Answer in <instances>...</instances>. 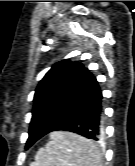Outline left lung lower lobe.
<instances>
[{
    "mask_svg": "<svg viewBox=\"0 0 135 166\" xmlns=\"http://www.w3.org/2000/svg\"><path fill=\"white\" fill-rule=\"evenodd\" d=\"M102 92L96 78L83 69L65 103L41 124H31L26 149L53 131H70L98 141L103 134Z\"/></svg>",
    "mask_w": 135,
    "mask_h": 166,
    "instance_id": "1",
    "label": "left lung lower lobe"
}]
</instances>
